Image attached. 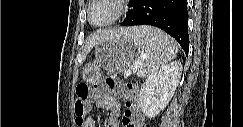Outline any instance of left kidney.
I'll return each mask as SVG.
<instances>
[{
    "label": "left kidney",
    "mask_w": 243,
    "mask_h": 127,
    "mask_svg": "<svg viewBox=\"0 0 243 127\" xmlns=\"http://www.w3.org/2000/svg\"><path fill=\"white\" fill-rule=\"evenodd\" d=\"M182 64L171 62L149 76L139 95V106L148 118L156 117L169 103L181 78Z\"/></svg>",
    "instance_id": "left-kidney-1"
}]
</instances>
